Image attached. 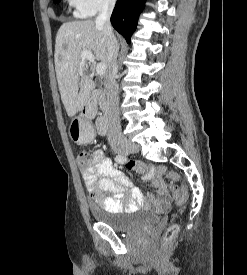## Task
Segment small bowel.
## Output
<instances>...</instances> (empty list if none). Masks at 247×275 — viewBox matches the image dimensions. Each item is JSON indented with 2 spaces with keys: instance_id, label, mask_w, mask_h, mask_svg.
Returning a JSON list of instances; mask_svg holds the SVG:
<instances>
[{
  "instance_id": "c3829d8e",
  "label": "small bowel",
  "mask_w": 247,
  "mask_h": 275,
  "mask_svg": "<svg viewBox=\"0 0 247 275\" xmlns=\"http://www.w3.org/2000/svg\"><path fill=\"white\" fill-rule=\"evenodd\" d=\"M140 174H147V166L138 162L132 169ZM82 179L95 206L111 212L134 211L145 204L141 191L133 184L108 157L102 149L93 152L91 165L81 171ZM165 168L160 166L156 176L152 177V183L160 198L153 200L160 209L169 208L172 196L163 179ZM130 194L129 200H122L123 193Z\"/></svg>"
}]
</instances>
